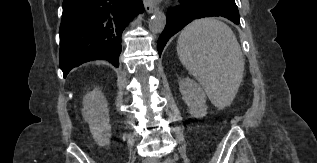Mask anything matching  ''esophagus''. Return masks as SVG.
<instances>
[{"mask_svg":"<svg viewBox=\"0 0 317 163\" xmlns=\"http://www.w3.org/2000/svg\"><path fill=\"white\" fill-rule=\"evenodd\" d=\"M144 7H145V10L149 13V14H152L154 12L157 11V7L151 3H149L147 0H144Z\"/></svg>","mask_w":317,"mask_h":163,"instance_id":"1","label":"esophagus"}]
</instances>
